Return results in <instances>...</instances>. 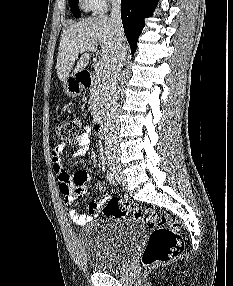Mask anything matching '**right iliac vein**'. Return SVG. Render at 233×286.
Segmentation results:
<instances>
[{
    "mask_svg": "<svg viewBox=\"0 0 233 286\" xmlns=\"http://www.w3.org/2000/svg\"><path fill=\"white\" fill-rule=\"evenodd\" d=\"M108 164H109L110 170L115 175L116 179H118L120 182L124 184L125 177L123 176L121 172V168L118 164V161L115 158H110L108 160Z\"/></svg>",
    "mask_w": 233,
    "mask_h": 286,
    "instance_id": "right-iliac-vein-1",
    "label": "right iliac vein"
}]
</instances>
